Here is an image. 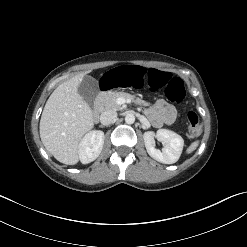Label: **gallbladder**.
Returning a JSON list of instances; mask_svg holds the SVG:
<instances>
[{
	"instance_id": "1",
	"label": "gallbladder",
	"mask_w": 247,
	"mask_h": 247,
	"mask_svg": "<svg viewBox=\"0 0 247 247\" xmlns=\"http://www.w3.org/2000/svg\"><path fill=\"white\" fill-rule=\"evenodd\" d=\"M78 93L89 106H93L94 100L99 93L98 82L91 76H84L78 87Z\"/></svg>"
}]
</instances>
